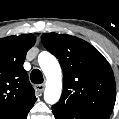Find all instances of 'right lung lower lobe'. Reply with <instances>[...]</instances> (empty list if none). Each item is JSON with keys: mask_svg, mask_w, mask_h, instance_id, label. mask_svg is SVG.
<instances>
[{"mask_svg": "<svg viewBox=\"0 0 119 119\" xmlns=\"http://www.w3.org/2000/svg\"><path fill=\"white\" fill-rule=\"evenodd\" d=\"M33 105L34 103L30 105L28 108H26L25 110L13 115L10 119H27L28 112L30 111ZM0 119H7V117H2Z\"/></svg>", "mask_w": 119, "mask_h": 119, "instance_id": "1", "label": "right lung lower lobe"}]
</instances>
